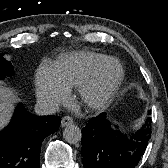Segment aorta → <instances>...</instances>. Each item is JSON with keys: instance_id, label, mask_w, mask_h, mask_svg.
<instances>
[{"instance_id": "1", "label": "aorta", "mask_w": 168, "mask_h": 168, "mask_svg": "<svg viewBox=\"0 0 168 168\" xmlns=\"http://www.w3.org/2000/svg\"><path fill=\"white\" fill-rule=\"evenodd\" d=\"M63 137L66 142L70 144H76L81 140V129L74 124L68 125L63 131Z\"/></svg>"}]
</instances>
